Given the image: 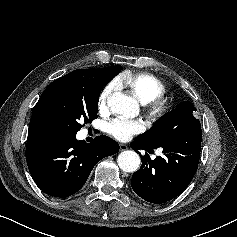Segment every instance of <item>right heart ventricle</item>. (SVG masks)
<instances>
[{"label": "right heart ventricle", "instance_id": "e07e8e85", "mask_svg": "<svg viewBox=\"0 0 237 237\" xmlns=\"http://www.w3.org/2000/svg\"><path fill=\"white\" fill-rule=\"evenodd\" d=\"M115 83L126 87L142 103L147 104L165 92V86L160 79L149 73H125L119 76Z\"/></svg>", "mask_w": 237, "mask_h": 237}]
</instances>
